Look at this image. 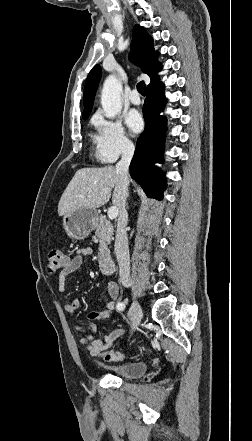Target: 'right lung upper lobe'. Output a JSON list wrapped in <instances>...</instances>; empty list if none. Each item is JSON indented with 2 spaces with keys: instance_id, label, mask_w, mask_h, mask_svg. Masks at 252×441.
<instances>
[{
  "instance_id": "1",
  "label": "right lung upper lobe",
  "mask_w": 252,
  "mask_h": 441,
  "mask_svg": "<svg viewBox=\"0 0 252 441\" xmlns=\"http://www.w3.org/2000/svg\"><path fill=\"white\" fill-rule=\"evenodd\" d=\"M158 54L159 53L157 51H154L152 37L143 27L136 24L133 28L130 59L140 66L144 73L149 75L151 79L150 84L158 78L157 72L161 68L160 63L157 61ZM101 73V67L99 65H95L87 76L83 98V119H87L92 110Z\"/></svg>"
}]
</instances>
